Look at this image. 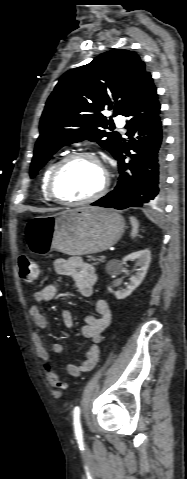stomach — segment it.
Masks as SVG:
<instances>
[{"mask_svg": "<svg viewBox=\"0 0 187 479\" xmlns=\"http://www.w3.org/2000/svg\"><path fill=\"white\" fill-rule=\"evenodd\" d=\"M124 219L113 209L84 206L55 215L35 216L25 224L30 250L46 255L53 250L68 255L103 252L124 232Z\"/></svg>", "mask_w": 187, "mask_h": 479, "instance_id": "1", "label": "stomach"}]
</instances>
